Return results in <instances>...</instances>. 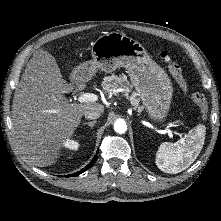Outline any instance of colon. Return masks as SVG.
I'll return each instance as SVG.
<instances>
[{
  "label": "colon",
  "instance_id": "obj_1",
  "mask_svg": "<svg viewBox=\"0 0 221 221\" xmlns=\"http://www.w3.org/2000/svg\"><path fill=\"white\" fill-rule=\"evenodd\" d=\"M162 61L167 65V68L174 79L177 81L182 90L191 98V100L199 108L202 117L207 118L208 113V101L204 94L200 92H192L188 87V83L183 76L181 67L172 59V57L166 52L162 51L159 53Z\"/></svg>",
  "mask_w": 221,
  "mask_h": 221
}]
</instances>
